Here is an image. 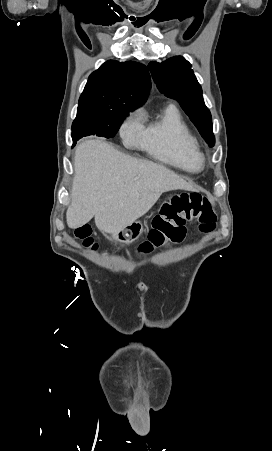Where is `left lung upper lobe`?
Segmentation results:
<instances>
[{"instance_id": "left-lung-upper-lobe-1", "label": "left lung upper lobe", "mask_w": 272, "mask_h": 451, "mask_svg": "<svg viewBox=\"0 0 272 451\" xmlns=\"http://www.w3.org/2000/svg\"><path fill=\"white\" fill-rule=\"evenodd\" d=\"M148 67L160 92L177 100L206 142L214 146L211 114L191 64L183 57L175 56L162 63L152 61Z\"/></svg>"}]
</instances>
